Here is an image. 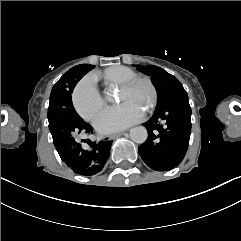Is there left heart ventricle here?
<instances>
[{
	"instance_id": "1",
	"label": "left heart ventricle",
	"mask_w": 241,
	"mask_h": 241,
	"mask_svg": "<svg viewBox=\"0 0 241 241\" xmlns=\"http://www.w3.org/2000/svg\"><path fill=\"white\" fill-rule=\"evenodd\" d=\"M154 86L151 80L140 78L139 81L129 86L123 94L129 105H136L139 109H148L152 102Z\"/></svg>"
}]
</instances>
